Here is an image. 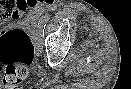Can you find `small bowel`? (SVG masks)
Instances as JSON below:
<instances>
[{
  "mask_svg": "<svg viewBox=\"0 0 131 89\" xmlns=\"http://www.w3.org/2000/svg\"><path fill=\"white\" fill-rule=\"evenodd\" d=\"M42 13V10L40 8L36 9L34 12L35 16H39Z\"/></svg>",
  "mask_w": 131,
  "mask_h": 89,
  "instance_id": "c3829d8e",
  "label": "small bowel"
}]
</instances>
